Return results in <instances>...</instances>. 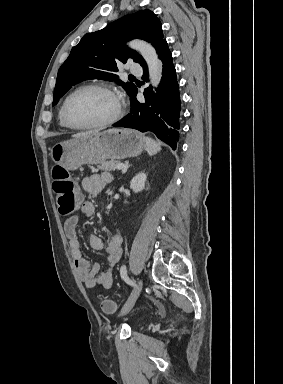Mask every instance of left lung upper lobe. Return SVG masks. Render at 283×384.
<instances>
[{
    "mask_svg": "<svg viewBox=\"0 0 283 384\" xmlns=\"http://www.w3.org/2000/svg\"><path fill=\"white\" fill-rule=\"evenodd\" d=\"M135 38L150 42L157 53L166 42L162 24L151 10L126 15L102 30L85 34L58 71L53 105L73 85L88 79L116 81L131 97L136 90L135 84L122 82L116 72L117 62L126 63L128 58L146 66L143 57L124 44Z\"/></svg>",
    "mask_w": 283,
    "mask_h": 384,
    "instance_id": "5c2ea615",
    "label": "left lung upper lobe"
}]
</instances>
